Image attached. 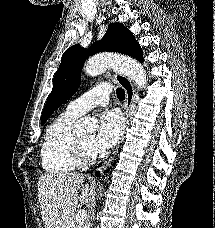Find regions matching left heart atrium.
I'll return each instance as SVG.
<instances>
[{
	"label": "left heart atrium",
	"mask_w": 215,
	"mask_h": 228,
	"mask_svg": "<svg viewBox=\"0 0 215 228\" xmlns=\"http://www.w3.org/2000/svg\"><path fill=\"white\" fill-rule=\"evenodd\" d=\"M123 129V119L117 111L105 112L99 119L98 134L92 145L94 152L101 153L113 147L120 140Z\"/></svg>",
	"instance_id": "39dd6f15"
}]
</instances>
